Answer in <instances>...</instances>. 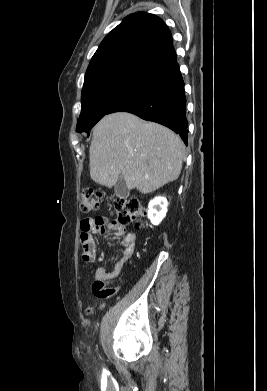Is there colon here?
Instances as JSON below:
<instances>
[{
	"instance_id": "1",
	"label": "colon",
	"mask_w": 267,
	"mask_h": 391,
	"mask_svg": "<svg viewBox=\"0 0 267 391\" xmlns=\"http://www.w3.org/2000/svg\"><path fill=\"white\" fill-rule=\"evenodd\" d=\"M104 194L92 188H85L80 193V210L84 214L98 211L103 201ZM116 214L115 222L120 226L133 224L140 229L145 226L143 219L147 211L142 203L136 198L118 199L113 202Z\"/></svg>"
}]
</instances>
